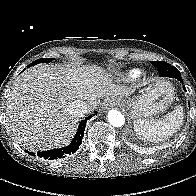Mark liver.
Returning a JSON list of instances; mask_svg holds the SVG:
<instances>
[{"label": "liver", "mask_w": 196, "mask_h": 196, "mask_svg": "<svg viewBox=\"0 0 196 196\" xmlns=\"http://www.w3.org/2000/svg\"><path fill=\"white\" fill-rule=\"evenodd\" d=\"M132 93L114 84L100 67H33L12 86L6 104L7 131L16 143L33 151L67 145L79 119L69 111L75 100L84 101L91 112L104 97Z\"/></svg>", "instance_id": "obj_1"}]
</instances>
